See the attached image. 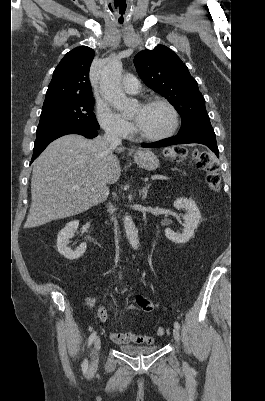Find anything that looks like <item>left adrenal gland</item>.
<instances>
[{
	"label": "left adrenal gland",
	"instance_id": "1",
	"mask_svg": "<svg viewBox=\"0 0 265 401\" xmlns=\"http://www.w3.org/2000/svg\"><path fill=\"white\" fill-rule=\"evenodd\" d=\"M149 186L150 184H147V186H144V188H140L139 190V194H142L143 201H145Z\"/></svg>",
	"mask_w": 265,
	"mask_h": 401
}]
</instances>
